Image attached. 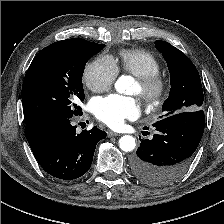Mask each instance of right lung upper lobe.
I'll return each instance as SVG.
<instances>
[{"label": "right lung upper lobe", "instance_id": "1", "mask_svg": "<svg viewBox=\"0 0 224 224\" xmlns=\"http://www.w3.org/2000/svg\"><path fill=\"white\" fill-rule=\"evenodd\" d=\"M83 41H84V39L73 38V39H67V40L58 41V42H55L53 44H55V45H62V46H70V45L80 44Z\"/></svg>", "mask_w": 224, "mask_h": 224}]
</instances>
